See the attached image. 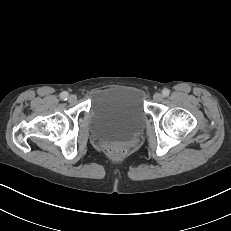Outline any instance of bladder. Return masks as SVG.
Here are the masks:
<instances>
[{
  "mask_svg": "<svg viewBox=\"0 0 231 231\" xmlns=\"http://www.w3.org/2000/svg\"><path fill=\"white\" fill-rule=\"evenodd\" d=\"M90 132L101 141H128L142 130L147 113L143 92L134 87H111L91 98Z\"/></svg>",
  "mask_w": 231,
  "mask_h": 231,
  "instance_id": "bladder-1",
  "label": "bladder"
}]
</instances>
